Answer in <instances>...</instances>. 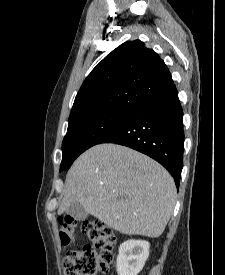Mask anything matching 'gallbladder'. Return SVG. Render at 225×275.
Segmentation results:
<instances>
[{"mask_svg":"<svg viewBox=\"0 0 225 275\" xmlns=\"http://www.w3.org/2000/svg\"><path fill=\"white\" fill-rule=\"evenodd\" d=\"M66 214L77 221H82L88 216V213L79 202L72 203L66 210Z\"/></svg>","mask_w":225,"mask_h":275,"instance_id":"gallbladder-1","label":"gallbladder"}]
</instances>
